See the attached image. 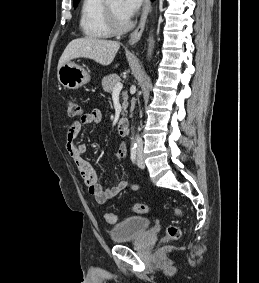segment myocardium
<instances>
[{
	"mask_svg": "<svg viewBox=\"0 0 259 283\" xmlns=\"http://www.w3.org/2000/svg\"><path fill=\"white\" fill-rule=\"evenodd\" d=\"M105 13H106L108 25L113 33L122 34L130 29L131 27L130 20L128 19H126L125 21L120 20L117 14L115 13L114 9L112 8L110 4V0H105Z\"/></svg>",
	"mask_w": 259,
	"mask_h": 283,
	"instance_id": "myocardium-1",
	"label": "myocardium"
}]
</instances>
